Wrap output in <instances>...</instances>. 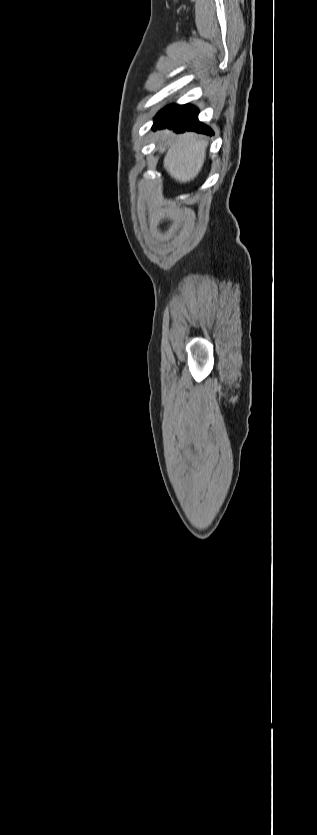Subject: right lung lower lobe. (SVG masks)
Segmentation results:
<instances>
[{"label":"right lung lower lobe","mask_w":317,"mask_h":835,"mask_svg":"<svg viewBox=\"0 0 317 835\" xmlns=\"http://www.w3.org/2000/svg\"><path fill=\"white\" fill-rule=\"evenodd\" d=\"M171 128L176 132L196 131L212 134L210 127L198 120V109L191 105H169L160 111L154 122L153 129Z\"/></svg>","instance_id":"98d812e1"}]
</instances>
